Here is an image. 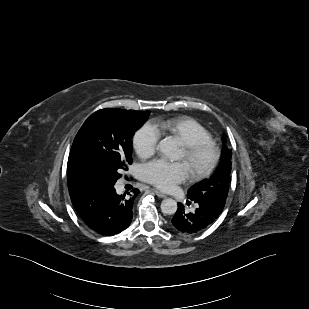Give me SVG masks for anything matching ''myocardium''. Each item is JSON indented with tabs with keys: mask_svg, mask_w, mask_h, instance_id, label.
<instances>
[{
	"mask_svg": "<svg viewBox=\"0 0 309 309\" xmlns=\"http://www.w3.org/2000/svg\"><path fill=\"white\" fill-rule=\"evenodd\" d=\"M186 158L194 163L191 176L201 179L210 175L217 167L220 160V149L214 141H198L184 144Z\"/></svg>",
	"mask_w": 309,
	"mask_h": 309,
	"instance_id": "myocardium-1",
	"label": "myocardium"
}]
</instances>
